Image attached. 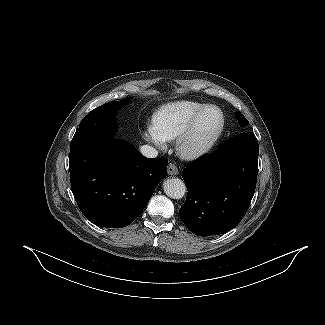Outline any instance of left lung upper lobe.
<instances>
[{"instance_id":"1","label":"left lung upper lobe","mask_w":325,"mask_h":325,"mask_svg":"<svg viewBox=\"0 0 325 325\" xmlns=\"http://www.w3.org/2000/svg\"><path fill=\"white\" fill-rule=\"evenodd\" d=\"M236 117L241 126H247L249 124L247 119L240 112H237Z\"/></svg>"}]
</instances>
